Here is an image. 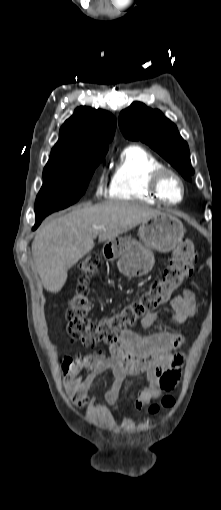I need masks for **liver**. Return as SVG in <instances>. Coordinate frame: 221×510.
Wrapping results in <instances>:
<instances>
[{"label":"liver","instance_id":"liver-1","mask_svg":"<svg viewBox=\"0 0 221 510\" xmlns=\"http://www.w3.org/2000/svg\"><path fill=\"white\" fill-rule=\"evenodd\" d=\"M161 212L127 201H107L84 205L51 219L38 229L32 242V255L44 288L59 292L74 266L99 242L118 237Z\"/></svg>","mask_w":221,"mask_h":510}]
</instances>
